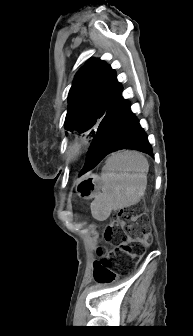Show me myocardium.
Returning <instances> with one entry per match:
<instances>
[{
  "label": "myocardium",
  "instance_id": "1",
  "mask_svg": "<svg viewBox=\"0 0 193 336\" xmlns=\"http://www.w3.org/2000/svg\"><path fill=\"white\" fill-rule=\"evenodd\" d=\"M84 142L83 141H75L67 151V158L69 160H74L79 157L84 151Z\"/></svg>",
  "mask_w": 193,
  "mask_h": 336
}]
</instances>
